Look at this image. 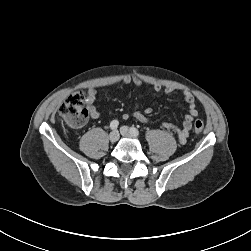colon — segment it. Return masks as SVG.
Returning <instances> with one entry per match:
<instances>
[{"instance_id": "obj_1", "label": "colon", "mask_w": 251, "mask_h": 251, "mask_svg": "<svg viewBox=\"0 0 251 251\" xmlns=\"http://www.w3.org/2000/svg\"><path fill=\"white\" fill-rule=\"evenodd\" d=\"M87 97L81 91L71 93L60 108V114L63 119L72 127L83 126L88 119V111L85 108ZM194 130L201 133L204 130V123L201 120L194 122Z\"/></svg>"}]
</instances>
